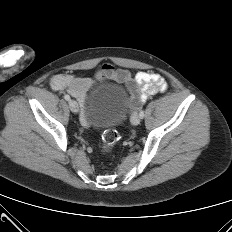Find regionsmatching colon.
Instances as JSON below:
<instances>
[{"label":"colon","instance_id":"colon-1","mask_svg":"<svg viewBox=\"0 0 232 232\" xmlns=\"http://www.w3.org/2000/svg\"><path fill=\"white\" fill-rule=\"evenodd\" d=\"M118 140V132L115 129H109L102 136L101 151L106 154L111 151Z\"/></svg>","mask_w":232,"mask_h":232}]
</instances>
